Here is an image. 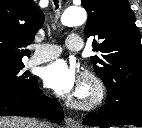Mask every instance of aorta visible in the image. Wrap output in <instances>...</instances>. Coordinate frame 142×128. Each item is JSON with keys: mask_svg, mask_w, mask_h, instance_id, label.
Listing matches in <instances>:
<instances>
[{"mask_svg": "<svg viewBox=\"0 0 142 128\" xmlns=\"http://www.w3.org/2000/svg\"><path fill=\"white\" fill-rule=\"evenodd\" d=\"M87 19L86 11L81 7H69L61 16L64 26L72 27L83 24Z\"/></svg>", "mask_w": 142, "mask_h": 128, "instance_id": "762f6f07", "label": "aorta"}]
</instances>
